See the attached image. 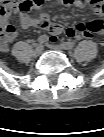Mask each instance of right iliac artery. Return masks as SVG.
<instances>
[{"label":"right iliac artery","mask_w":104,"mask_h":137,"mask_svg":"<svg viewBox=\"0 0 104 137\" xmlns=\"http://www.w3.org/2000/svg\"><path fill=\"white\" fill-rule=\"evenodd\" d=\"M37 41H38V43L42 44V43L47 41V37L46 36H40Z\"/></svg>","instance_id":"82829eb1"}]
</instances>
